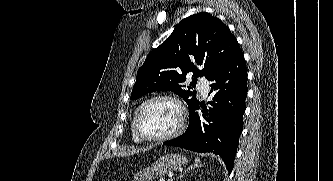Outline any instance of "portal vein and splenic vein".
I'll use <instances>...</instances> for the list:
<instances>
[{"label": "portal vein and splenic vein", "mask_w": 333, "mask_h": 181, "mask_svg": "<svg viewBox=\"0 0 333 181\" xmlns=\"http://www.w3.org/2000/svg\"><path fill=\"white\" fill-rule=\"evenodd\" d=\"M160 181H165V180L161 179ZM168 181H173V179H169Z\"/></svg>", "instance_id": "obj_1"}]
</instances>
